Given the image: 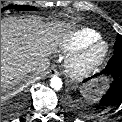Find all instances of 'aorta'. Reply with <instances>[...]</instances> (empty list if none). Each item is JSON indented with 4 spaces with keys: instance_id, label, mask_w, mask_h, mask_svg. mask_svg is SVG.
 Segmentation results:
<instances>
[{
    "instance_id": "aorta-1",
    "label": "aorta",
    "mask_w": 122,
    "mask_h": 122,
    "mask_svg": "<svg viewBox=\"0 0 122 122\" xmlns=\"http://www.w3.org/2000/svg\"><path fill=\"white\" fill-rule=\"evenodd\" d=\"M62 84V80L57 76H53L50 80V86L54 90H60L62 88Z\"/></svg>"
}]
</instances>
